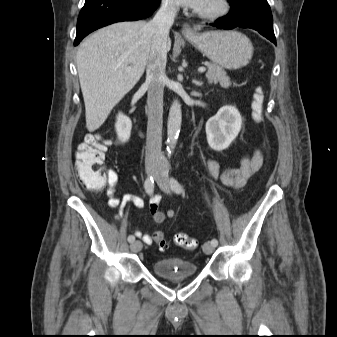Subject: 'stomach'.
<instances>
[{
  "label": "stomach",
  "instance_id": "obj_1",
  "mask_svg": "<svg viewBox=\"0 0 337 337\" xmlns=\"http://www.w3.org/2000/svg\"><path fill=\"white\" fill-rule=\"evenodd\" d=\"M185 38L213 63L226 69L246 66L253 55L250 40L237 31H210Z\"/></svg>",
  "mask_w": 337,
  "mask_h": 337
}]
</instances>
